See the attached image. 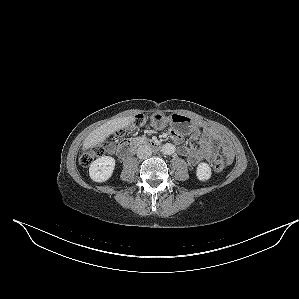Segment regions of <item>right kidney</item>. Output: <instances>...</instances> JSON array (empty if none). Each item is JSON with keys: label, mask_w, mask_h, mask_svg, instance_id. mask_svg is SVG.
Here are the masks:
<instances>
[{"label": "right kidney", "mask_w": 299, "mask_h": 299, "mask_svg": "<svg viewBox=\"0 0 299 299\" xmlns=\"http://www.w3.org/2000/svg\"><path fill=\"white\" fill-rule=\"evenodd\" d=\"M115 159L110 156H103L91 163L89 176L95 182H105L113 174Z\"/></svg>", "instance_id": "ca27d5eb"}]
</instances>
